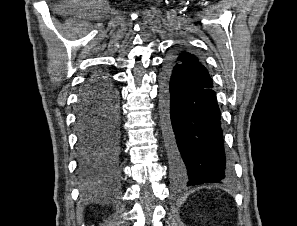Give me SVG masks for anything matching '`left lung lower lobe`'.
<instances>
[{"label": "left lung lower lobe", "instance_id": "0a47b994", "mask_svg": "<svg viewBox=\"0 0 297 226\" xmlns=\"http://www.w3.org/2000/svg\"><path fill=\"white\" fill-rule=\"evenodd\" d=\"M161 84L160 115L174 181L187 186L227 181L230 166L212 87H190L173 72L170 59Z\"/></svg>", "mask_w": 297, "mask_h": 226}]
</instances>
